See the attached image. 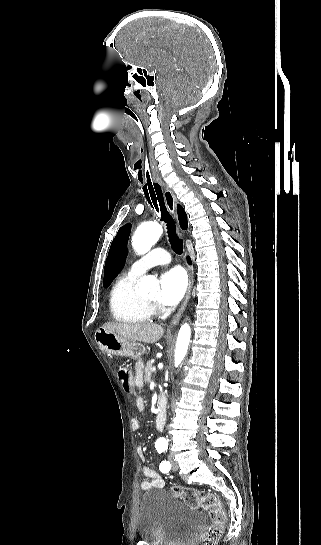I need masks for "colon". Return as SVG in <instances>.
<instances>
[{
    "label": "colon",
    "instance_id": "5ec220e1",
    "mask_svg": "<svg viewBox=\"0 0 321 545\" xmlns=\"http://www.w3.org/2000/svg\"><path fill=\"white\" fill-rule=\"evenodd\" d=\"M117 374L124 388L127 391H131L133 389V382L129 367L124 364L119 365L117 367ZM172 492L175 496L181 498L187 505L194 508L200 506L207 512L211 524L208 527L204 538L201 540L200 545H217L223 534L226 523V513L219 498L212 493L199 497L194 489L183 486L173 487Z\"/></svg>",
    "mask_w": 321,
    "mask_h": 545
}]
</instances>
